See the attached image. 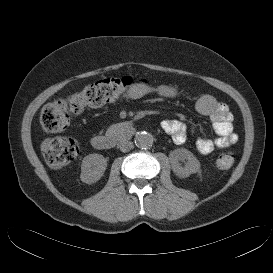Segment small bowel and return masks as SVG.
Segmentation results:
<instances>
[{
	"mask_svg": "<svg viewBox=\"0 0 273 273\" xmlns=\"http://www.w3.org/2000/svg\"><path fill=\"white\" fill-rule=\"evenodd\" d=\"M149 94H157L166 98L175 99L180 95L179 89L174 85L163 84L150 86L136 84L132 87L129 97L140 99ZM196 111L208 116L215 131L214 136L199 137L196 140L197 150L207 155L215 149L226 148L237 143L238 137L232 130V114L227 105L216 100L211 95H202L195 104ZM162 129L169 135L175 144L181 145L187 138V126L179 120H165L161 124Z\"/></svg>",
	"mask_w": 273,
	"mask_h": 273,
	"instance_id": "1",
	"label": "small bowel"
}]
</instances>
